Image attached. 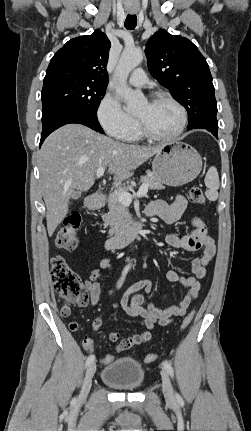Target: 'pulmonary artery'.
<instances>
[{
	"mask_svg": "<svg viewBox=\"0 0 251 431\" xmlns=\"http://www.w3.org/2000/svg\"><path fill=\"white\" fill-rule=\"evenodd\" d=\"M147 81H148V78L145 72L140 68L135 69L129 77V82L133 86H137V87L144 86L147 83Z\"/></svg>",
	"mask_w": 251,
	"mask_h": 431,
	"instance_id": "1",
	"label": "pulmonary artery"
}]
</instances>
